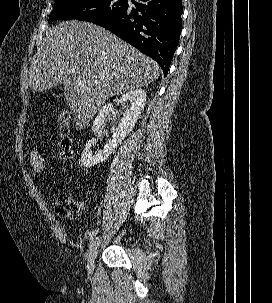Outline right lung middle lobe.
<instances>
[{"label":"right lung middle lobe","mask_w":272,"mask_h":303,"mask_svg":"<svg viewBox=\"0 0 272 303\" xmlns=\"http://www.w3.org/2000/svg\"><path fill=\"white\" fill-rule=\"evenodd\" d=\"M127 0H56L49 22L72 20L95 22L128 9Z\"/></svg>","instance_id":"obj_1"}]
</instances>
